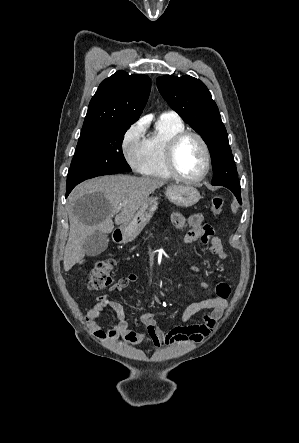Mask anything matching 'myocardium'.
Returning a JSON list of instances; mask_svg holds the SVG:
<instances>
[{
    "instance_id": "obj_1",
    "label": "myocardium",
    "mask_w": 299,
    "mask_h": 443,
    "mask_svg": "<svg viewBox=\"0 0 299 443\" xmlns=\"http://www.w3.org/2000/svg\"><path fill=\"white\" fill-rule=\"evenodd\" d=\"M188 137H194L196 138L199 143L202 146V149L204 151V168L202 170V172L195 177H187L185 175H183L178 167H177V163H176V152L177 149L179 147V145ZM165 162H166V167L168 169V171L170 172V174L185 183H197L202 181L207 174L209 173L210 170V166H211V153H210V149L209 146L207 144V142L205 141V139L197 132L195 131H191V130H183L179 133H177L175 136H173L171 138V140L169 141L166 150H165Z\"/></svg>"
}]
</instances>
